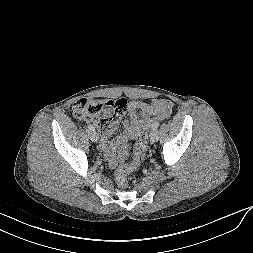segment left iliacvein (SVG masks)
<instances>
[{
    "mask_svg": "<svg viewBox=\"0 0 253 253\" xmlns=\"http://www.w3.org/2000/svg\"><path fill=\"white\" fill-rule=\"evenodd\" d=\"M159 138V133L157 129H152L151 133H150V141L152 143L156 142Z\"/></svg>",
    "mask_w": 253,
    "mask_h": 253,
    "instance_id": "obj_1",
    "label": "left iliac vein"
}]
</instances>
